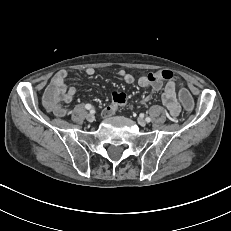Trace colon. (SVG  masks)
<instances>
[{"mask_svg":"<svg viewBox=\"0 0 231 231\" xmlns=\"http://www.w3.org/2000/svg\"><path fill=\"white\" fill-rule=\"evenodd\" d=\"M157 77L161 80H170L173 78V73L169 70L157 72ZM59 87L56 84L48 83L45 86L42 105L45 108H50L56 104L55 95L58 94ZM178 103L186 113H193L196 110L194 96L185 88H180L177 91ZM127 100L126 94L121 91H115L112 94V105L115 107L125 104Z\"/></svg>","mask_w":231,"mask_h":231,"instance_id":"colon-1","label":"colon"}]
</instances>
